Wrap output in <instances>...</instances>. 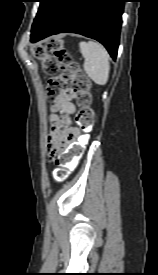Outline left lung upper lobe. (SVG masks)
<instances>
[{"mask_svg":"<svg viewBox=\"0 0 158 275\" xmlns=\"http://www.w3.org/2000/svg\"><path fill=\"white\" fill-rule=\"evenodd\" d=\"M55 0H40V6L36 18L34 19L31 33L34 32L45 21L48 10Z\"/></svg>","mask_w":158,"mask_h":275,"instance_id":"5c2ea615","label":"left lung upper lobe"}]
</instances>
